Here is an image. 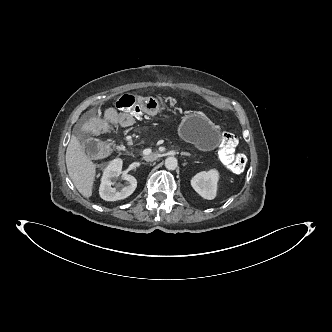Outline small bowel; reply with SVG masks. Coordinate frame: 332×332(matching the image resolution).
Wrapping results in <instances>:
<instances>
[{
  "label": "small bowel",
  "mask_w": 332,
  "mask_h": 332,
  "mask_svg": "<svg viewBox=\"0 0 332 332\" xmlns=\"http://www.w3.org/2000/svg\"><path fill=\"white\" fill-rule=\"evenodd\" d=\"M138 106L151 114H158L161 111V104L148 95H141L138 98ZM104 117L107 122V128H112L114 124L127 128L134 122V119L129 117L127 113H120L113 109L107 110Z\"/></svg>",
  "instance_id": "obj_1"
}]
</instances>
